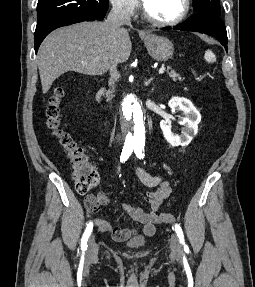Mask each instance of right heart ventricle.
<instances>
[{
	"instance_id": "e07e8e85",
	"label": "right heart ventricle",
	"mask_w": 255,
	"mask_h": 287,
	"mask_svg": "<svg viewBox=\"0 0 255 287\" xmlns=\"http://www.w3.org/2000/svg\"><path fill=\"white\" fill-rule=\"evenodd\" d=\"M132 33H141V32H132ZM137 39H145V38H137ZM136 48H146V47H136ZM164 48H169V47H164Z\"/></svg>"
}]
</instances>
